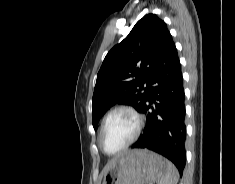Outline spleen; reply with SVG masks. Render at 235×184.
I'll list each match as a JSON object with an SVG mask.
<instances>
[{
	"mask_svg": "<svg viewBox=\"0 0 235 184\" xmlns=\"http://www.w3.org/2000/svg\"><path fill=\"white\" fill-rule=\"evenodd\" d=\"M179 172L172 162L166 160L165 172L163 178L158 180V184H178Z\"/></svg>",
	"mask_w": 235,
	"mask_h": 184,
	"instance_id": "obj_1",
	"label": "spleen"
}]
</instances>
